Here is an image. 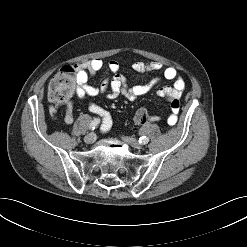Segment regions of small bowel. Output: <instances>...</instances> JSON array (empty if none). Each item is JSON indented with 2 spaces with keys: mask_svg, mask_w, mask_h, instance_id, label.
I'll list each match as a JSON object with an SVG mask.
<instances>
[{
  "mask_svg": "<svg viewBox=\"0 0 247 247\" xmlns=\"http://www.w3.org/2000/svg\"><path fill=\"white\" fill-rule=\"evenodd\" d=\"M105 67L104 62L99 58H94L86 62H81L75 65L77 70V96L83 100L88 110L102 119V130L108 131L112 126V117L108 110L92 102L90 99L100 94L108 92L107 97L111 100L123 95L129 100H134L140 96L149 93L153 87L161 80H173L172 86L160 87L155 91V95L159 98H165L171 106V115L168 118L169 123H174L179 109H173L172 103L180 99L185 89V80L179 74V71L174 66H168L163 69L161 76L153 78L150 82L141 85H130L128 79L120 74V66L116 60H111L107 64L109 71L108 76L102 81L99 86H93L89 83L92 75L98 73ZM162 64L157 61L151 62H135L132 65V71L135 74H143L156 72L162 69ZM66 111L63 120L66 124H71L74 121V105L72 102L65 103ZM54 108L51 109V114L55 115Z\"/></svg>",
  "mask_w": 247,
  "mask_h": 247,
  "instance_id": "obj_1",
  "label": "small bowel"
}]
</instances>
